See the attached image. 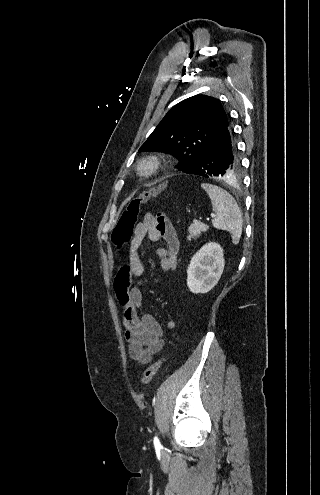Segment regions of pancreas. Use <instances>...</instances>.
I'll return each instance as SVG.
<instances>
[{
  "mask_svg": "<svg viewBox=\"0 0 320 495\" xmlns=\"http://www.w3.org/2000/svg\"><path fill=\"white\" fill-rule=\"evenodd\" d=\"M209 229L207 224L200 221H194L188 228L189 236L188 240L197 239L200 237L201 233L206 232Z\"/></svg>",
  "mask_w": 320,
  "mask_h": 495,
  "instance_id": "pancreas-1",
  "label": "pancreas"
}]
</instances>
